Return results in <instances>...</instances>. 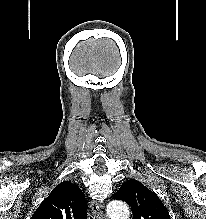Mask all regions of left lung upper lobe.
Segmentation results:
<instances>
[{
    "label": "left lung upper lobe",
    "mask_w": 206,
    "mask_h": 219,
    "mask_svg": "<svg viewBox=\"0 0 206 219\" xmlns=\"http://www.w3.org/2000/svg\"><path fill=\"white\" fill-rule=\"evenodd\" d=\"M112 197L131 206L133 219H170L158 196L135 179L124 182Z\"/></svg>",
    "instance_id": "obj_1"
}]
</instances>
